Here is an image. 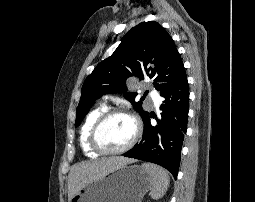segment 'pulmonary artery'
Listing matches in <instances>:
<instances>
[{"instance_id":"e3ab8cb5","label":"pulmonary artery","mask_w":255,"mask_h":202,"mask_svg":"<svg viewBox=\"0 0 255 202\" xmlns=\"http://www.w3.org/2000/svg\"><path fill=\"white\" fill-rule=\"evenodd\" d=\"M154 105H155V106L158 105V99H154Z\"/></svg>"}]
</instances>
